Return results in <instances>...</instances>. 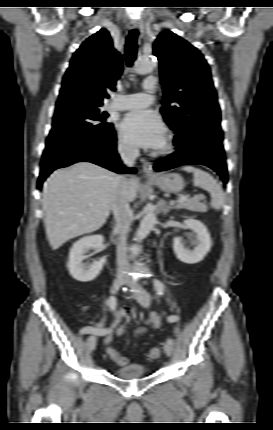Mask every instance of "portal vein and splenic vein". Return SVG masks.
Returning <instances> with one entry per match:
<instances>
[{
  "instance_id": "portal-vein-and-splenic-vein-1",
  "label": "portal vein and splenic vein",
  "mask_w": 273,
  "mask_h": 430,
  "mask_svg": "<svg viewBox=\"0 0 273 430\" xmlns=\"http://www.w3.org/2000/svg\"><path fill=\"white\" fill-rule=\"evenodd\" d=\"M188 198V195H182L179 199H178V203H181L183 201H185Z\"/></svg>"
}]
</instances>
